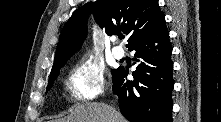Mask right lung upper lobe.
<instances>
[{
  "label": "right lung upper lobe",
  "instance_id": "right-lung-upper-lobe-1",
  "mask_svg": "<svg viewBox=\"0 0 221 122\" xmlns=\"http://www.w3.org/2000/svg\"><path fill=\"white\" fill-rule=\"evenodd\" d=\"M93 11L96 22L107 35L124 32L130 48L164 20L158 0H97L78 8L62 29L51 73L59 71L86 36V17ZM50 73V74H51Z\"/></svg>",
  "mask_w": 221,
  "mask_h": 122
}]
</instances>
